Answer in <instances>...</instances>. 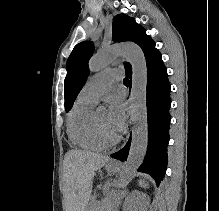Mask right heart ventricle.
Here are the masks:
<instances>
[{
    "mask_svg": "<svg viewBox=\"0 0 219 211\" xmlns=\"http://www.w3.org/2000/svg\"><path fill=\"white\" fill-rule=\"evenodd\" d=\"M94 103L77 98L67 120V132L71 141L88 150H102L107 142L100 137L93 124Z\"/></svg>",
    "mask_w": 219,
    "mask_h": 211,
    "instance_id": "1",
    "label": "right heart ventricle"
}]
</instances>
